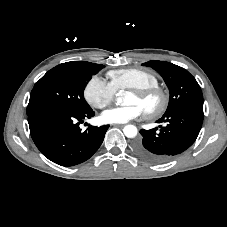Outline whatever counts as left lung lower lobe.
Here are the masks:
<instances>
[{"mask_svg": "<svg viewBox=\"0 0 227 227\" xmlns=\"http://www.w3.org/2000/svg\"><path fill=\"white\" fill-rule=\"evenodd\" d=\"M203 109L183 108L164 114L158 128L140 130L142 137L135 142L134 150L152 163H164L189 148L196 140L202 123Z\"/></svg>", "mask_w": 227, "mask_h": 227, "instance_id": "obj_1", "label": "left lung lower lobe"}]
</instances>
